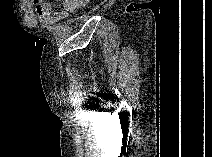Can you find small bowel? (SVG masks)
Returning a JSON list of instances; mask_svg holds the SVG:
<instances>
[{
	"instance_id": "1",
	"label": "small bowel",
	"mask_w": 212,
	"mask_h": 157,
	"mask_svg": "<svg viewBox=\"0 0 212 157\" xmlns=\"http://www.w3.org/2000/svg\"><path fill=\"white\" fill-rule=\"evenodd\" d=\"M86 5L85 0H64L61 9H56L54 2L38 1L35 4L36 16L46 25H53L63 20Z\"/></svg>"
}]
</instances>
